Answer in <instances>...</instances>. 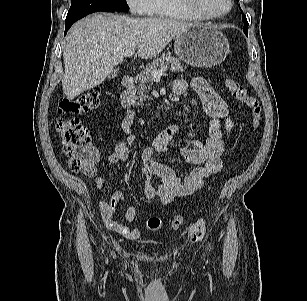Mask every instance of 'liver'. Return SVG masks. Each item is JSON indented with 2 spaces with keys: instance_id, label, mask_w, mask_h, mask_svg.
Returning a JSON list of instances; mask_svg holds the SVG:
<instances>
[{
  "instance_id": "liver-1",
  "label": "liver",
  "mask_w": 307,
  "mask_h": 301,
  "mask_svg": "<svg viewBox=\"0 0 307 301\" xmlns=\"http://www.w3.org/2000/svg\"><path fill=\"white\" fill-rule=\"evenodd\" d=\"M191 23L164 18H133L93 14L75 23L63 51L62 88L69 100L101 84L123 62L124 54L138 50L142 59L158 55Z\"/></svg>"
}]
</instances>
